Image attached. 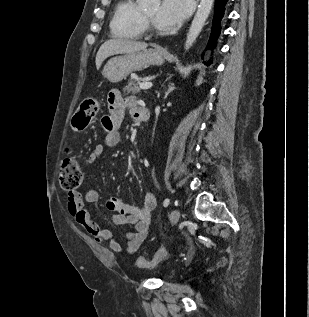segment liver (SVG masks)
<instances>
[{
  "mask_svg": "<svg viewBox=\"0 0 309 317\" xmlns=\"http://www.w3.org/2000/svg\"><path fill=\"white\" fill-rule=\"evenodd\" d=\"M147 43L133 41L129 39H110L104 42L99 48L96 55V68L99 70L103 61L112 55L131 53L135 51L145 50Z\"/></svg>",
  "mask_w": 309,
  "mask_h": 317,
  "instance_id": "liver-1",
  "label": "liver"
}]
</instances>
